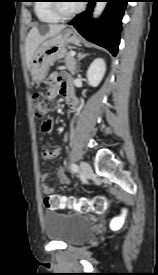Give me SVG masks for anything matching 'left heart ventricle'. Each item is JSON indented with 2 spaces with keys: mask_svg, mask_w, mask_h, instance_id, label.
I'll return each mask as SVG.
<instances>
[{
  "mask_svg": "<svg viewBox=\"0 0 158 275\" xmlns=\"http://www.w3.org/2000/svg\"><path fill=\"white\" fill-rule=\"evenodd\" d=\"M65 2H70V3H62L63 9L66 12L72 11V10H74L75 8H77L79 6L78 3H74V2H77V1H65Z\"/></svg>",
  "mask_w": 158,
  "mask_h": 275,
  "instance_id": "1",
  "label": "left heart ventricle"
}]
</instances>
